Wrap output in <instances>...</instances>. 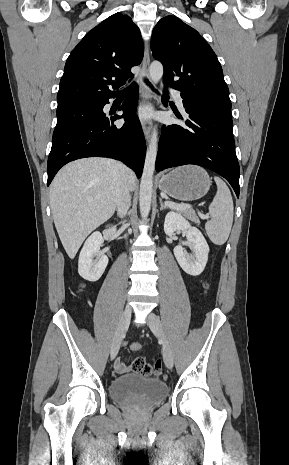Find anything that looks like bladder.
<instances>
[{"label":"bladder","instance_id":"obj_1","mask_svg":"<svg viewBox=\"0 0 289 465\" xmlns=\"http://www.w3.org/2000/svg\"><path fill=\"white\" fill-rule=\"evenodd\" d=\"M109 393L112 399L122 404L137 402L154 405L166 398L168 386L155 378L131 374L114 379Z\"/></svg>","mask_w":289,"mask_h":465}]
</instances>
